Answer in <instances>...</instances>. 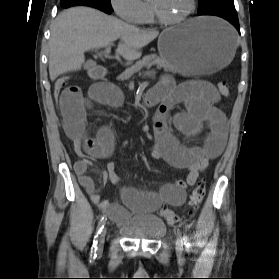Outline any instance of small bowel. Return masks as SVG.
Listing matches in <instances>:
<instances>
[{"label": "small bowel", "instance_id": "obj_1", "mask_svg": "<svg viewBox=\"0 0 279 279\" xmlns=\"http://www.w3.org/2000/svg\"><path fill=\"white\" fill-rule=\"evenodd\" d=\"M147 96L155 103H160L154 117L155 145L149 152L150 157L165 161L176 168L187 169L188 175L186 180L170 181L157 191L124 187L122 200L127 209L104 199L99 193V187L106 180L114 184L121 183L115 172L114 162H109L96 179L88 174L94 160L108 158L114 150V136L108 126H103L95 137L88 131L92 105L98 103L119 107L124 101L122 92L112 84L98 83L87 90L72 85L66 87L59 98L63 128L80 157L74 167L79 183L92 201L105 210L116 223H124L129 212L149 214L156 211L162 203L171 206L184 204L187 187L196 184L199 174L207 169L211 159L222 153L226 144V118L216 105L219 93L210 82L188 81L175 86L170 77L164 76ZM177 103H182L185 110L172 115L175 128L187 137H196L206 124L209 133L203 144L182 147L170 132L167 118Z\"/></svg>", "mask_w": 279, "mask_h": 279}]
</instances>
